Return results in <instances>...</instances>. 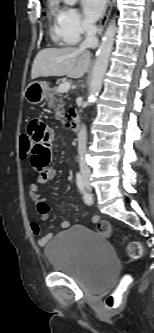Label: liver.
Returning a JSON list of instances; mask_svg holds the SVG:
<instances>
[{"label": "liver", "mask_w": 154, "mask_h": 333, "mask_svg": "<svg viewBox=\"0 0 154 333\" xmlns=\"http://www.w3.org/2000/svg\"><path fill=\"white\" fill-rule=\"evenodd\" d=\"M90 52L76 47L45 48L36 55L31 79L68 75L81 78L90 66Z\"/></svg>", "instance_id": "liver-1"}]
</instances>
